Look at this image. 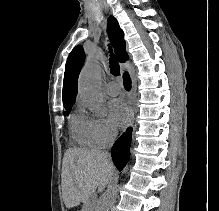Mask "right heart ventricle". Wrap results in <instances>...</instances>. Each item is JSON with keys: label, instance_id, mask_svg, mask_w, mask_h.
I'll use <instances>...</instances> for the list:
<instances>
[{"label": "right heart ventricle", "instance_id": "1", "mask_svg": "<svg viewBox=\"0 0 219 211\" xmlns=\"http://www.w3.org/2000/svg\"><path fill=\"white\" fill-rule=\"evenodd\" d=\"M71 129L74 137L84 145H93L95 140L91 132L90 117L82 113L76 114L71 120Z\"/></svg>", "mask_w": 219, "mask_h": 211}]
</instances>
